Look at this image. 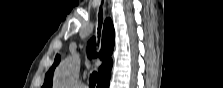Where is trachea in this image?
Wrapping results in <instances>:
<instances>
[{"mask_svg": "<svg viewBox=\"0 0 223 88\" xmlns=\"http://www.w3.org/2000/svg\"><path fill=\"white\" fill-rule=\"evenodd\" d=\"M102 20H103V17H102V10L100 9V12H99V34H100V28H101V25H102ZM96 83H97V73L96 72H93L91 75H90V79H89V88H95L96 86Z\"/></svg>", "mask_w": 223, "mask_h": 88, "instance_id": "obj_1", "label": "trachea"}]
</instances>
